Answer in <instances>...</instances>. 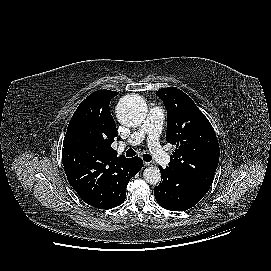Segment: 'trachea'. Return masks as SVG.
<instances>
[{"mask_svg": "<svg viewBox=\"0 0 271 271\" xmlns=\"http://www.w3.org/2000/svg\"><path fill=\"white\" fill-rule=\"evenodd\" d=\"M135 154L136 153H135V151L133 149H128L127 152H126L127 157H133V156H135ZM143 159L146 162H150L152 160V157H151L150 154H144Z\"/></svg>", "mask_w": 271, "mask_h": 271, "instance_id": "1", "label": "trachea"}]
</instances>
